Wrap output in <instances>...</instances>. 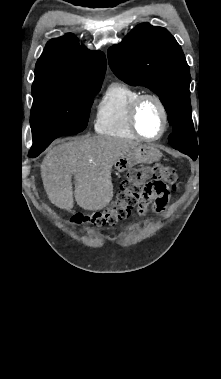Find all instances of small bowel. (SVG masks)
I'll return each mask as SVG.
<instances>
[{
	"label": "small bowel",
	"instance_id": "obj_1",
	"mask_svg": "<svg viewBox=\"0 0 221 379\" xmlns=\"http://www.w3.org/2000/svg\"><path fill=\"white\" fill-rule=\"evenodd\" d=\"M169 199V194L168 192L162 195H155V194H150L141 199V201L138 204V212L140 215H143L148 206L150 205L151 202L154 201L155 204V210L157 212H161L165 209Z\"/></svg>",
	"mask_w": 221,
	"mask_h": 379
}]
</instances>
